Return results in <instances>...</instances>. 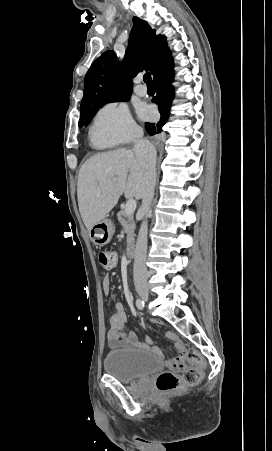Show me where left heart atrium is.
Wrapping results in <instances>:
<instances>
[{
    "label": "left heart atrium",
    "instance_id": "1",
    "mask_svg": "<svg viewBox=\"0 0 272 451\" xmlns=\"http://www.w3.org/2000/svg\"><path fill=\"white\" fill-rule=\"evenodd\" d=\"M152 114V112L150 111V110H148L147 112H146V116L148 117V116H150Z\"/></svg>",
    "mask_w": 272,
    "mask_h": 451
}]
</instances>
